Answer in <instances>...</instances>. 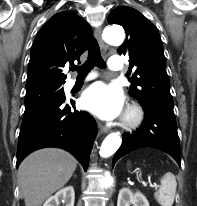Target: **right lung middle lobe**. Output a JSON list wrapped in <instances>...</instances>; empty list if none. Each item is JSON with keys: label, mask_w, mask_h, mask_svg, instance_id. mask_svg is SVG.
I'll list each match as a JSON object with an SVG mask.
<instances>
[{"label": "right lung middle lobe", "mask_w": 197, "mask_h": 206, "mask_svg": "<svg viewBox=\"0 0 197 206\" xmlns=\"http://www.w3.org/2000/svg\"><path fill=\"white\" fill-rule=\"evenodd\" d=\"M65 99L62 87H39L26 89L25 112L32 111L48 103Z\"/></svg>", "instance_id": "dd1d6c3e"}]
</instances>
